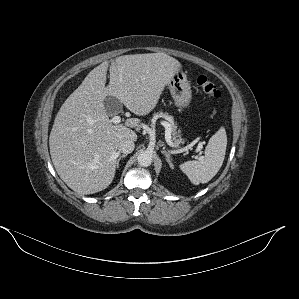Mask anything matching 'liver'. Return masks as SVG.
<instances>
[{
  "label": "liver",
  "mask_w": 299,
  "mask_h": 299,
  "mask_svg": "<svg viewBox=\"0 0 299 299\" xmlns=\"http://www.w3.org/2000/svg\"><path fill=\"white\" fill-rule=\"evenodd\" d=\"M181 66L164 53L134 54L119 56L110 65L104 61L88 73L61 106L49 137L52 162L68 187L79 194L107 188L115 175L119 141L137 140L131 128L140 120L113 124L105 98L113 96L132 113L147 115ZM108 67L110 81L105 87Z\"/></svg>",
  "instance_id": "1"
}]
</instances>
